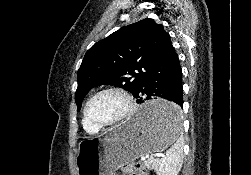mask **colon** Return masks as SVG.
<instances>
[{
    "mask_svg": "<svg viewBox=\"0 0 251 175\" xmlns=\"http://www.w3.org/2000/svg\"><path fill=\"white\" fill-rule=\"evenodd\" d=\"M123 175H147L145 166L137 160L129 161L122 166Z\"/></svg>",
    "mask_w": 251,
    "mask_h": 175,
    "instance_id": "obj_1",
    "label": "colon"
}]
</instances>
